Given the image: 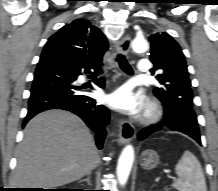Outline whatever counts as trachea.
<instances>
[{
  "label": "trachea",
  "instance_id": "trachea-1",
  "mask_svg": "<svg viewBox=\"0 0 218 191\" xmlns=\"http://www.w3.org/2000/svg\"><path fill=\"white\" fill-rule=\"evenodd\" d=\"M116 60L124 72H126L127 74H133V70H132L131 66L128 64L124 55L119 54L117 56Z\"/></svg>",
  "mask_w": 218,
  "mask_h": 191
}]
</instances>
